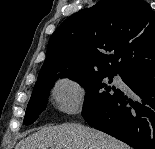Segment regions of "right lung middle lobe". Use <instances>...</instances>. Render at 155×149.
Masks as SVG:
<instances>
[{"label": "right lung middle lobe", "instance_id": "obj_1", "mask_svg": "<svg viewBox=\"0 0 155 149\" xmlns=\"http://www.w3.org/2000/svg\"><path fill=\"white\" fill-rule=\"evenodd\" d=\"M114 75L98 71H67L61 73L60 77H68L75 80L86 89L87 93L82 115L84 118H88L91 115L100 113L102 108L120 94L121 91L119 89H115L114 86L107 87V84L101 82L102 78L109 77V83H111ZM58 78V75H54L36 82L27 106L24 124H32L46 108L50 88L53 87L54 82Z\"/></svg>", "mask_w": 155, "mask_h": 149}]
</instances>
